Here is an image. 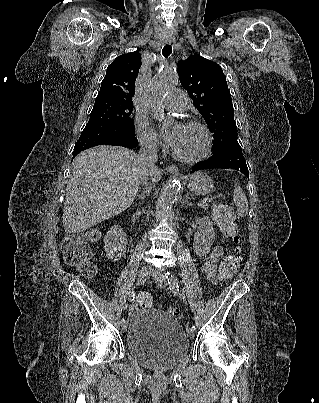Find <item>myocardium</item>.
I'll use <instances>...</instances> for the list:
<instances>
[{"label": "myocardium", "mask_w": 319, "mask_h": 403, "mask_svg": "<svg viewBox=\"0 0 319 403\" xmlns=\"http://www.w3.org/2000/svg\"><path fill=\"white\" fill-rule=\"evenodd\" d=\"M184 125L190 126V127H196L202 132V134L204 136V142H205L203 151L199 155H197L195 157H184V156L180 155L179 153H177L173 149L172 150L173 157L176 160H178L180 162H183V163H187V164L199 163V162L205 160L209 156V154L211 152V149H212V136H211V133H210V131H209V129H208V127L206 125H204L203 123H201V122H199L197 120H191V119L190 120H185Z\"/></svg>", "instance_id": "1"}]
</instances>
